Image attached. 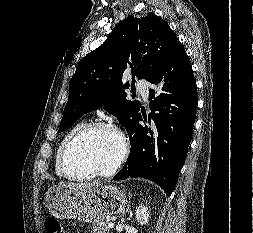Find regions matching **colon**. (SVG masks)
<instances>
[{
	"instance_id": "colon-1",
	"label": "colon",
	"mask_w": 253,
	"mask_h": 233,
	"mask_svg": "<svg viewBox=\"0 0 253 233\" xmlns=\"http://www.w3.org/2000/svg\"><path fill=\"white\" fill-rule=\"evenodd\" d=\"M44 226L46 233H65L61 223L55 218H47Z\"/></svg>"
}]
</instances>
